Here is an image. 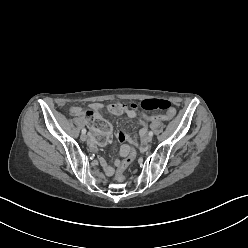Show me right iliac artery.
<instances>
[{
	"label": "right iliac artery",
	"mask_w": 248,
	"mask_h": 248,
	"mask_svg": "<svg viewBox=\"0 0 248 248\" xmlns=\"http://www.w3.org/2000/svg\"><path fill=\"white\" fill-rule=\"evenodd\" d=\"M86 133V129H82V134H85Z\"/></svg>",
	"instance_id": "82829eb1"
}]
</instances>
